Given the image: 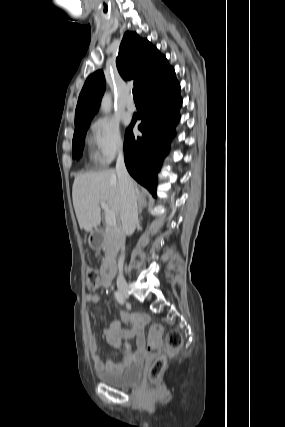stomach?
I'll use <instances>...</instances> for the list:
<instances>
[{"mask_svg": "<svg viewBox=\"0 0 285 427\" xmlns=\"http://www.w3.org/2000/svg\"><path fill=\"white\" fill-rule=\"evenodd\" d=\"M91 243V245L92 246H99L101 243H99V244H95L93 241L92 242H90Z\"/></svg>", "mask_w": 285, "mask_h": 427, "instance_id": "obj_1", "label": "stomach"}]
</instances>
